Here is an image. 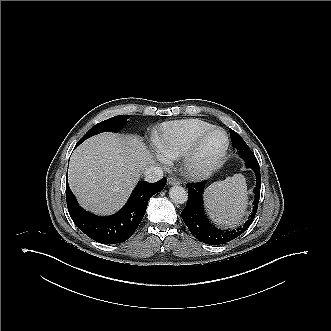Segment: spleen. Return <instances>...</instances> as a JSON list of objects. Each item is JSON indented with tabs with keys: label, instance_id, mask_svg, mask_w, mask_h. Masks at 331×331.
<instances>
[{
	"label": "spleen",
	"instance_id": "obj_1",
	"mask_svg": "<svg viewBox=\"0 0 331 331\" xmlns=\"http://www.w3.org/2000/svg\"><path fill=\"white\" fill-rule=\"evenodd\" d=\"M204 200L211 218L221 225L235 227L248 204L247 183L242 174L214 182L205 191Z\"/></svg>",
	"mask_w": 331,
	"mask_h": 331
}]
</instances>
